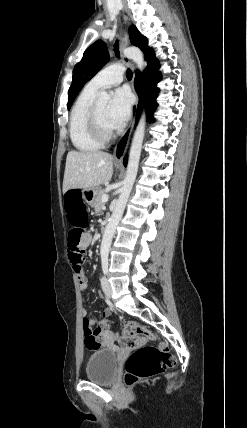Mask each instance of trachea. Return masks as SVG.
<instances>
[{
  "instance_id": "obj_1",
  "label": "trachea",
  "mask_w": 247,
  "mask_h": 428,
  "mask_svg": "<svg viewBox=\"0 0 247 428\" xmlns=\"http://www.w3.org/2000/svg\"><path fill=\"white\" fill-rule=\"evenodd\" d=\"M114 51H115L116 55L119 57L120 55H119V41L118 40H116V42L114 44ZM132 75H133L132 71L130 69H127V71H126L127 78L131 79Z\"/></svg>"
}]
</instances>
